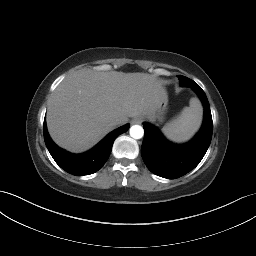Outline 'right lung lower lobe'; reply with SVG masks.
I'll return each mask as SVG.
<instances>
[{
  "label": "right lung lower lobe",
  "mask_w": 256,
  "mask_h": 256,
  "mask_svg": "<svg viewBox=\"0 0 256 256\" xmlns=\"http://www.w3.org/2000/svg\"><path fill=\"white\" fill-rule=\"evenodd\" d=\"M128 128L129 124H126L112 131L94 148L83 154H71L59 148L51 140L47 132L45 121L43 125V132L46 147L55 162L66 172L80 176L89 175L98 171L107 161L111 153L114 140L117 138V136L126 132Z\"/></svg>",
  "instance_id": "obj_1"
}]
</instances>
